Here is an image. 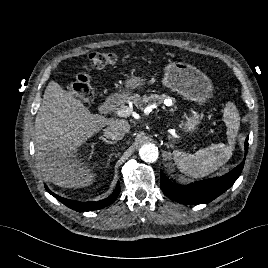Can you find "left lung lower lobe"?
Here are the masks:
<instances>
[{
    "label": "left lung lower lobe",
    "instance_id": "1",
    "mask_svg": "<svg viewBox=\"0 0 268 268\" xmlns=\"http://www.w3.org/2000/svg\"><path fill=\"white\" fill-rule=\"evenodd\" d=\"M248 149V137L245 140V155ZM244 160L229 173L212 179L197 181L189 185L172 183L163 172L160 173V185L163 193L182 204L197 205L208 203L229 189L239 177Z\"/></svg>",
    "mask_w": 268,
    "mask_h": 268
}]
</instances>
